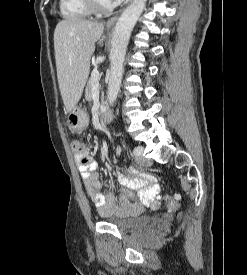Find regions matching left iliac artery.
I'll use <instances>...</instances> for the list:
<instances>
[{
    "instance_id": "1",
    "label": "left iliac artery",
    "mask_w": 247,
    "mask_h": 275,
    "mask_svg": "<svg viewBox=\"0 0 247 275\" xmlns=\"http://www.w3.org/2000/svg\"><path fill=\"white\" fill-rule=\"evenodd\" d=\"M134 155H136L138 153V149L135 148L134 151H133Z\"/></svg>"
}]
</instances>
